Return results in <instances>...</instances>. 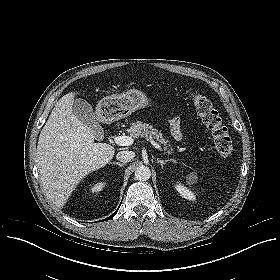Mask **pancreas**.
I'll return each instance as SVG.
<instances>
[{
	"instance_id": "1",
	"label": "pancreas",
	"mask_w": 280,
	"mask_h": 280,
	"mask_svg": "<svg viewBox=\"0 0 280 280\" xmlns=\"http://www.w3.org/2000/svg\"><path fill=\"white\" fill-rule=\"evenodd\" d=\"M129 133L133 138H146L149 136L150 138L156 139L163 144L166 149L168 148V140L164 139L163 134L158 129L153 128L150 124L143 123L141 121L132 123L129 128ZM168 152L172 153L173 149H169Z\"/></svg>"
}]
</instances>
